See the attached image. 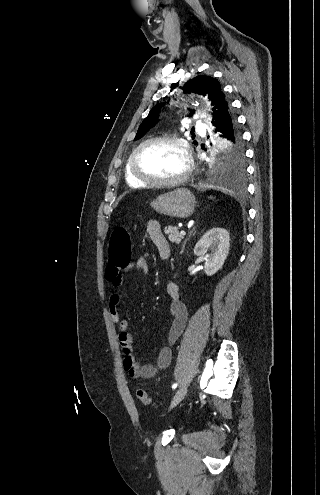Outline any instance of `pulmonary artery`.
I'll return each instance as SVG.
<instances>
[{
	"label": "pulmonary artery",
	"instance_id": "1",
	"mask_svg": "<svg viewBox=\"0 0 320 495\" xmlns=\"http://www.w3.org/2000/svg\"><path fill=\"white\" fill-rule=\"evenodd\" d=\"M195 127H196V129H197V130H200V129L202 128V124H201V122L197 121V122L195 123Z\"/></svg>",
	"mask_w": 320,
	"mask_h": 495
}]
</instances>
